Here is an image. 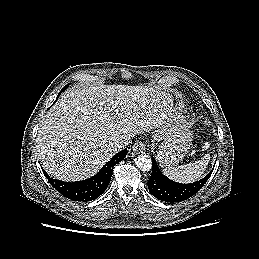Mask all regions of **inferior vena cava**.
<instances>
[{
	"mask_svg": "<svg viewBox=\"0 0 259 259\" xmlns=\"http://www.w3.org/2000/svg\"><path fill=\"white\" fill-rule=\"evenodd\" d=\"M130 144V139H124L115 143L114 148L118 151Z\"/></svg>",
	"mask_w": 259,
	"mask_h": 259,
	"instance_id": "inferior-vena-cava-1",
	"label": "inferior vena cava"
}]
</instances>
